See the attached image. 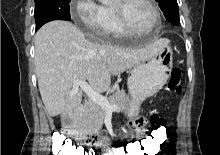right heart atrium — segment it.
<instances>
[{
	"label": "right heart atrium",
	"mask_w": 220,
	"mask_h": 155,
	"mask_svg": "<svg viewBox=\"0 0 220 155\" xmlns=\"http://www.w3.org/2000/svg\"><path fill=\"white\" fill-rule=\"evenodd\" d=\"M72 18L89 32L102 35L106 26L103 6L94 0H76L71 8Z\"/></svg>",
	"instance_id": "1"
}]
</instances>
